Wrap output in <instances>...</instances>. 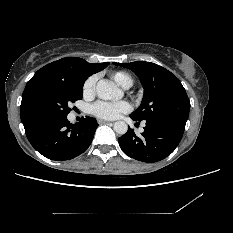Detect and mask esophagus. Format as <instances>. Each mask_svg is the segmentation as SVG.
<instances>
[{"label":"esophagus","mask_w":233,"mask_h":233,"mask_svg":"<svg viewBox=\"0 0 233 233\" xmlns=\"http://www.w3.org/2000/svg\"><path fill=\"white\" fill-rule=\"evenodd\" d=\"M99 124H112V122L110 121H106V120H98Z\"/></svg>","instance_id":"34e87169"}]
</instances>
